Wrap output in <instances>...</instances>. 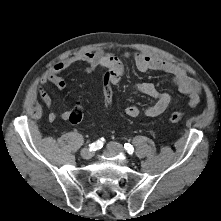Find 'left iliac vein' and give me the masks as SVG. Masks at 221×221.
Returning a JSON list of instances; mask_svg holds the SVG:
<instances>
[{"mask_svg":"<svg viewBox=\"0 0 221 221\" xmlns=\"http://www.w3.org/2000/svg\"><path fill=\"white\" fill-rule=\"evenodd\" d=\"M107 149L111 154H124V148L121 144L117 142H110L107 144ZM129 162L128 158H123L120 163L127 164Z\"/></svg>","mask_w":221,"mask_h":221,"instance_id":"1","label":"left iliac vein"}]
</instances>
